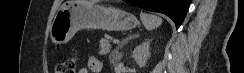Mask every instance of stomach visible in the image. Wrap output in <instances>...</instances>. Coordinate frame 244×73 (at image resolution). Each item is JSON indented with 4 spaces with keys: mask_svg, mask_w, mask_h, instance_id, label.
<instances>
[{
    "mask_svg": "<svg viewBox=\"0 0 244 73\" xmlns=\"http://www.w3.org/2000/svg\"><path fill=\"white\" fill-rule=\"evenodd\" d=\"M138 19L118 8L97 5L83 0H69L56 13L50 28V39L56 45L66 44L80 29L128 31Z\"/></svg>",
    "mask_w": 244,
    "mask_h": 73,
    "instance_id": "stomach-1",
    "label": "stomach"
}]
</instances>
